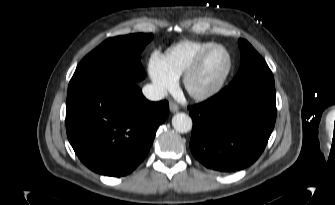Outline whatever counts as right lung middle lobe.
Returning a JSON list of instances; mask_svg holds the SVG:
<instances>
[{
    "label": "right lung middle lobe",
    "instance_id": "obj_1",
    "mask_svg": "<svg viewBox=\"0 0 335 205\" xmlns=\"http://www.w3.org/2000/svg\"><path fill=\"white\" fill-rule=\"evenodd\" d=\"M152 37L151 33H137L105 40L77 66L68 91L92 82L135 84L144 79L140 56Z\"/></svg>",
    "mask_w": 335,
    "mask_h": 205
}]
</instances>
